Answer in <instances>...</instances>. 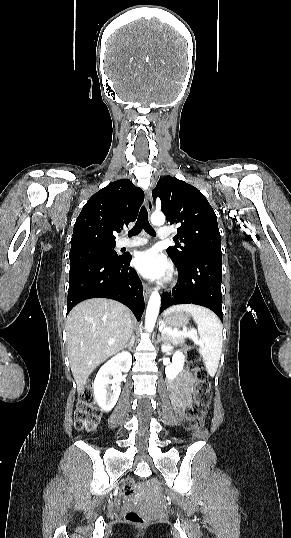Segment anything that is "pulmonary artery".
Returning a JSON list of instances; mask_svg holds the SVG:
<instances>
[{
  "instance_id": "pulmonary-artery-1",
  "label": "pulmonary artery",
  "mask_w": 291,
  "mask_h": 538,
  "mask_svg": "<svg viewBox=\"0 0 291 538\" xmlns=\"http://www.w3.org/2000/svg\"><path fill=\"white\" fill-rule=\"evenodd\" d=\"M170 234H171V232L167 227H161L158 230L157 237L159 239H165V238L169 237ZM146 243H147V239L142 238V237H137V238H134V239H131V240H122L121 243H120V246L121 247H136V246L145 245Z\"/></svg>"
}]
</instances>
